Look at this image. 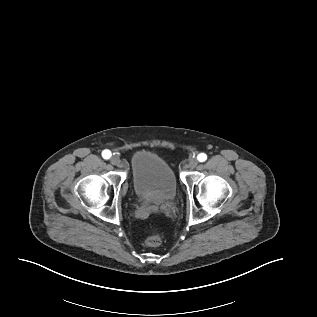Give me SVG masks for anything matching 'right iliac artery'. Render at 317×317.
<instances>
[{
    "instance_id": "1",
    "label": "right iliac artery",
    "mask_w": 317,
    "mask_h": 317,
    "mask_svg": "<svg viewBox=\"0 0 317 317\" xmlns=\"http://www.w3.org/2000/svg\"><path fill=\"white\" fill-rule=\"evenodd\" d=\"M102 157H103L104 159H109V158L111 157V152H110L109 150H104V151L102 152Z\"/></svg>"
}]
</instances>
